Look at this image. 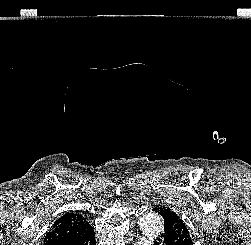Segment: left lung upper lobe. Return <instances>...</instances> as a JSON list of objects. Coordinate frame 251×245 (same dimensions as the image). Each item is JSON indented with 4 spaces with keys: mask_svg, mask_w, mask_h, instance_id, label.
<instances>
[{
    "mask_svg": "<svg viewBox=\"0 0 251 245\" xmlns=\"http://www.w3.org/2000/svg\"><path fill=\"white\" fill-rule=\"evenodd\" d=\"M164 220V231L172 230L181 240L193 245L190 233L181 218L171 209L163 206L153 208Z\"/></svg>",
    "mask_w": 251,
    "mask_h": 245,
    "instance_id": "obj_1",
    "label": "left lung upper lobe"
}]
</instances>
